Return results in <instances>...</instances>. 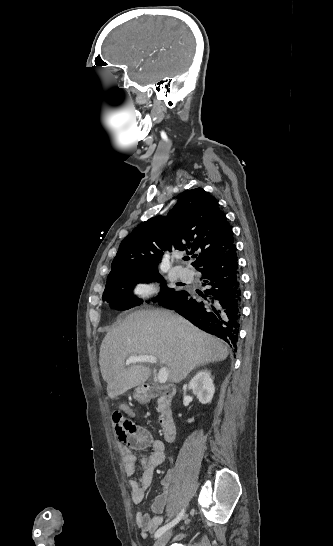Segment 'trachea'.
Returning a JSON list of instances; mask_svg holds the SVG:
<instances>
[{
    "label": "trachea",
    "mask_w": 333,
    "mask_h": 546,
    "mask_svg": "<svg viewBox=\"0 0 333 546\" xmlns=\"http://www.w3.org/2000/svg\"><path fill=\"white\" fill-rule=\"evenodd\" d=\"M185 260H189V258L187 257Z\"/></svg>",
    "instance_id": "trachea-1"
}]
</instances>
